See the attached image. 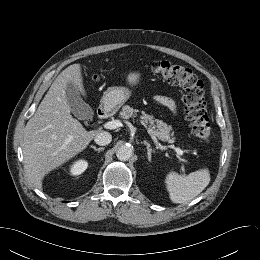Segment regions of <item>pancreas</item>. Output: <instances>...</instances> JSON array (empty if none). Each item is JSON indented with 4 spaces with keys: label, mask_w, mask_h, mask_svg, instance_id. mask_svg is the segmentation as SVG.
<instances>
[{
    "label": "pancreas",
    "mask_w": 260,
    "mask_h": 260,
    "mask_svg": "<svg viewBox=\"0 0 260 260\" xmlns=\"http://www.w3.org/2000/svg\"><path fill=\"white\" fill-rule=\"evenodd\" d=\"M139 111L133 109L129 105H125L122 107V111L120 112V116L123 119L135 118ZM140 122L144 125L151 134L157 136L162 141L173 142L174 138L172 131V127L167 125V123L162 120L155 119L153 115L146 114L142 112L140 116Z\"/></svg>",
    "instance_id": "obj_1"
}]
</instances>
